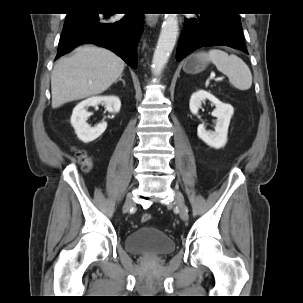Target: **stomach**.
Here are the masks:
<instances>
[{
	"label": "stomach",
	"instance_id": "obj_1",
	"mask_svg": "<svg viewBox=\"0 0 303 303\" xmlns=\"http://www.w3.org/2000/svg\"><path fill=\"white\" fill-rule=\"evenodd\" d=\"M208 65V61L200 56L194 54L189 56L183 63V70L188 74H196L203 71Z\"/></svg>",
	"mask_w": 303,
	"mask_h": 303
}]
</instances>
